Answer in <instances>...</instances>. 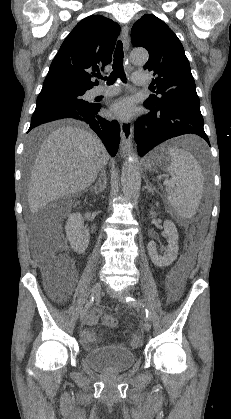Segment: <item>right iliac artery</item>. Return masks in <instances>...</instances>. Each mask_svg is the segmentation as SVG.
Listing matches in <instances>:
<instances>
[{
  "label": "right iliac artery",
  "mask_w": 231,
  "mask_h": 419,
  "mask_svg": "<svg viewBox=\"0 0 231 419\" xmlns=\"http://www.w3.org/2000/svg\"><path fill=\"white\" fill-rule=\"evenodd\" d=\"M94 298L92 297L90 301L86 304V307L90 308L93 304Z\"/></svg>",
  "instance_id": "obj_1"
}]
</instances>
